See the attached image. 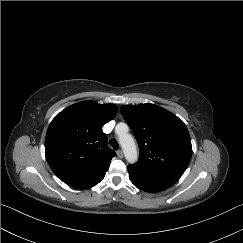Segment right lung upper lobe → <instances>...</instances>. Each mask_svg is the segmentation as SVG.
I'll return each mask as SVG.
<instances>
[{
	"label": "right lung upper lobe",
	"instance_id": "1",
	"mask_svg": "<svg viewBox=\"0 0 243 243\" xmlns=\"http://www.w3.org/2000/svg\"><path fill=\"white\" fill-rule=\"evenodd\" d=\"M116 113L114 104L82 101L56 115L47 130L45 153L60 180L77 188L106 173L116 153L102 126Z\"/></svg>",
	"mask_w": 243,
	"mask_h": 243
}]
</instances>
